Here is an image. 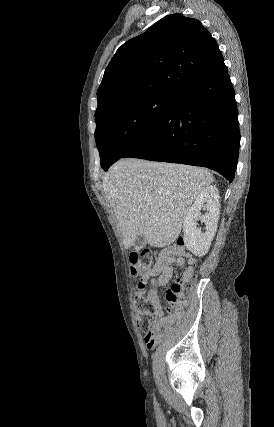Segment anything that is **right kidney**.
I'll list each match as a JSON object with an SVG mask.
<instances>
[{"instance_id":"obj_1","label":"right kidney","mask_w":274,"mask_h":427,"mask_svg":"<svg viewBox=\"0 0 274 427\" xmlns=\"http://www.w3.org/2000/svg\"><path fill=\"white\" fill-rule=\"evenodd\" d=\"M203 206L207 208V214L205 215H202L200 212ZM219 214V192L216 186H205L204 190L196 196L193 206H191L190 210L183 217L184 245L194 255L201 257V255L207 253L216 233ZM197 219H201V221L206 223L204 233L196 227Z\"/></svg>"}]
</instances>
